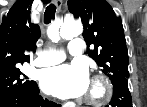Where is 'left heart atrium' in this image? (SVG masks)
Here are the masks:
<instances>
[{
  "mask_svg": "<svg viewBox=\"0 0 147 107\" xmlns=\"http://www.w3.org/2000/svg\"><path fill=\"white\" fill-rule=\"evenodd\" d=\"M41 86L46 93L62 99L80 97L89 88L88 71L79 64L56 66L42 73Z\"/></svg>",
  "mask_w": 147,
  "mask_h": 107,
  "instance_id": "39dd6f15",
  "label": "left heart atrium"
}]
</instances>
